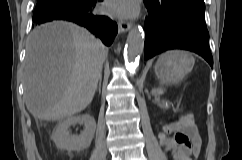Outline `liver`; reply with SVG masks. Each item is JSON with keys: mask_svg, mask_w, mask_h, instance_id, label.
Returning <instances> with one entry per match:
<instances>
[{"mask_svg": "<svg viewBox=\"0 0 242 160\" xmlns=\"http://www.w3.org/2000/svg\"><path fill=\"white\" fill-rule=\"evenodd\" d=\"M107 55L86 29L54 22L35 29L27 41L24 92L35 119L62 121L91 102Z\"/></svg>", "mask_w": 242, "mask_h": 160, "instance_id": "liver-1", "label": "liver"}]
</instances>
